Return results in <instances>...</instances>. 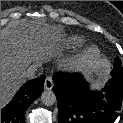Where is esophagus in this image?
I'll list each match as a JSON object with an SVG mask.
<instances>
[{
  "mask_svg": "<svg viewBox=\"0 0 123 123\" xmlns=\"http://www.w3.org/2000/svg\"><path fill=\"white\" fill-rule=\"evenodd\" d=\"M53 80L51 77H46L45 82H44V89L45 90H51L53 88Z\"/></svg>",
  "mask_w": 123,
  "mask_h": 123,
  "instance_id": "obj_1",
  "label": "esophagus"
}]
</instances>
